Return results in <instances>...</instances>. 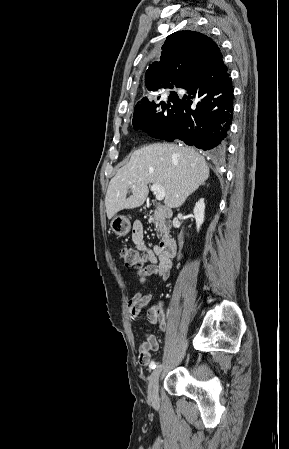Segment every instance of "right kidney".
Here are the masks:
<instances>
[{
    "mask_svg": "<svg viewBox=\"0 0 289 449\" xmlns=\"http://www.w3.org/2000/svg\"><path fill=\"white\" fill-rule=\"evenodd\" d=\"M194 218L196 220L197 231L200 230L201 225L204 222V213H205V203L204 199L201 198L194 207Z\"/></svg>",
    "mask_w": 289,
    "mask_h": 449,
    "instance_id": "1",
    "label": "right kidney"
}]
</instances>
